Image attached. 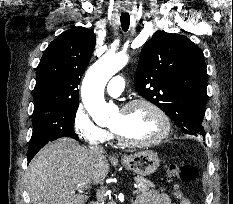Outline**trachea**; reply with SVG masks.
Listing matches in <instances>:
<instances>
[{"mask_svg": "<svg viewBox=\"0 0 233 204\" xmlns=\"http://www.w3.org/2000/svg\"><path fill=\"white\" fill-rule=\"evenodd\" d=\"M121 27L123 29V31H127L129 28V24H130V16L128 13H122L121 14Z\"/></svg>", "mask_w": 233, "mask_h": 204, "instance_id": "obj_1", "label": "trachea"}]
</instances>
